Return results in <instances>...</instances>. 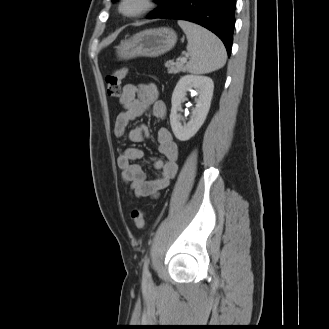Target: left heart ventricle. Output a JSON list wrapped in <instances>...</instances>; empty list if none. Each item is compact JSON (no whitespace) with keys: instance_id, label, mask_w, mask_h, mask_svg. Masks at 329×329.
<instances>
[{"instance_id":"1","label":"left heart ventricle","mask_w":329,"mask_h":329,"mask_svg":"<svg viewBox=\"0 0 329 329\" xmlns=\"http://www.w3.org/2000/svg\"><path fill=\"white\" fill-rule=\"evenodd\" d=\"M138 7V3L136 2H131V3H128L126 6H125V9L127 11H131V10H134Z\"/></svg>"}]
</instances>
